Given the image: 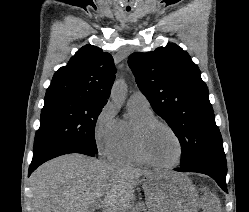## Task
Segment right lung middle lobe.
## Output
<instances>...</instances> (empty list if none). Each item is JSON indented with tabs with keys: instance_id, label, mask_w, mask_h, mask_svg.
<instances>
[{
	"instance_id": "right-lung-middle-lobe-1",
	"label": "right lung middle lobe",
	"mask_w": 249,
	"mask_h": 212,
	"mask_svg": "<svg viewBox=\"0 0 249 212\" xmlns=\"http://www.w3.org/2000/svg\"><path fill=\"white\" fill-rule=\"evenodd\" d=\"M104 104L80 97L45 98L41 111V123L35 135L34 151L57 143H74L85 154L98 153L95 141V125Z\"/></svg>"
}]
</instances>
